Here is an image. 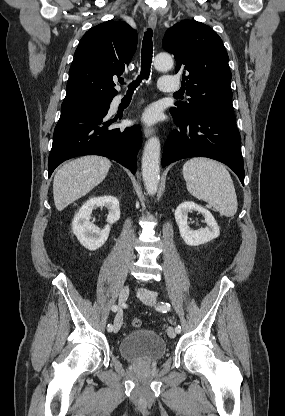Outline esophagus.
<instances>
[{"mask_svg": "<svg viewBox=\"0 0 285 416\" xmlns=\"http://www.w3.org/2000/svg\"><path fill=\"white\" fill-rule=\"evenodd\" d=\"M148 25L151 29H155L157 25V15L155 12L151 13L148 17ZM146 138L154 134V129L146 126L143 130Z\"/></svg>", "mask_w": 285, "mask_h": 416, "instance_id": "1", "label": "esophagus"}]
</instances>
